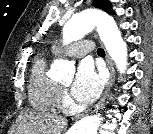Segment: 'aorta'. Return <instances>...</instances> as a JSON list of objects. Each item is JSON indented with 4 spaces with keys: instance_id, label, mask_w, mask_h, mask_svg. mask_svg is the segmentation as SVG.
Listing matches in <instances>:
<instances>
[{
    "instance_id": "obj_1",
    "label": "aorta",
    "mask_w": 153,
    "mask_h": 134,
    "mask_svg": "<svg viewBox=\"0 0 153 134\" xmlns=\"http://www.w3.org/2000/svg\"><path fill=\"white\" fill-rule=\"evenodd\" d=\"M95 28L117 69L123 73L127 67V45L115 21L100 11L89 9L75 14L63 28V42L68 44L79 40ZM52 69L67 82L71 81V74L75 70L74 65L66 60H56ZM100 123V115L85 117L73 126L72 134H98Z\"/></svg>"
}]
</instances>
